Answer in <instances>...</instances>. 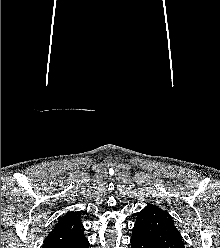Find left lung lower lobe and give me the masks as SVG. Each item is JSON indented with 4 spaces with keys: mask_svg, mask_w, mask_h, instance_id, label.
Masks as SVG:
<instances>
[{
    "mask_svg": "<svg viewBox=\"0 0 220 248\" xmlns=\"http://www.w3.org/2000/svg\"><path fill=\"white\" fill-rule=\"evenodd\" d=\"M131 246L132 248H160L138 228H133Z\"/></svg>",
    "mask_w": 220,
    "mask_h": 248,
    "instance_id": "obj_1",
    "label": "left lung lower lobe"
}]
</instances>
